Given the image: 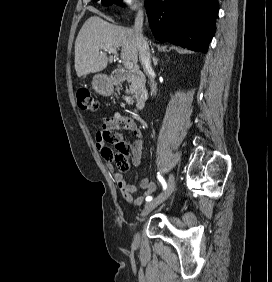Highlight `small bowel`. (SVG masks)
<instances>
[{"label":"small bowel","mask_w":272,"mask_h":282,"mask_svg":"<svg viewBox=\"0 0 272 282\" xmlns=\"http://www.w3.org/2000/svg\"><path fill=\"white\" fill-rule=\"evenodd\" d=\"M123 128L131 131L136 137L133 143L129 155L131 162L134 166H139L141 163V156L144 148L146 147V138L144 134L137 128L135 121L131 118L125 117L119 113H115L111 118L107 119L103 123V129H116ZM100 132L96 133V146L100 148L101 146V136ZM108 170L111 172L113 179L121 193L122 197L131 205L140 206L147 195L152 194L156 189L157 185L149 178H143L140 181V188L143 191L142 195L133 196L135 191V186L126 181L123 174L115 169V167L110 163H106Z\"/></svg>","instance_id":"c3829d8e"}]
</instances>
